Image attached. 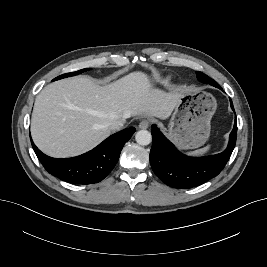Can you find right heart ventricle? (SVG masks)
<instances>
[{"mask_svg": "<svg viewBox=\"0 0 267 267\" xmlns=\"http://www.w3.org/2000/svg\"><path fill=\"white\" fill-rule=\"evenodd\" d=\"M168 82V79H164L161 81V83L166 84Z\"/></svg>", "mask_w": 267, "mask_h": 267, "instance_id": "right-heart-ventricle-1", "label": "right heart ventricle"}]
</instances>
